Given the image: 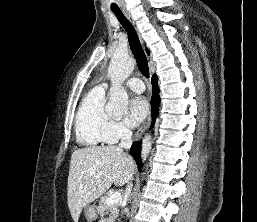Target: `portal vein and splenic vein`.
<instances>
[{"mask_svg": "<svg viewBox=\"0 0 257 222\" xmlns=\"http://www.w3.org/2000/svg\"><path fill=\"white\" fill-rule=\"evenodd\" d=\"M120 199H121V194L119 192H115L106 199V204L112 205L114 203H118Z\"/></svg>", "mask_w": 257, "mask_h": 222, "instance_id": "obj_1", "label": "portal vein and splenic vein"}]
</instances>
